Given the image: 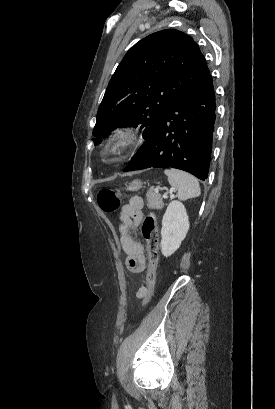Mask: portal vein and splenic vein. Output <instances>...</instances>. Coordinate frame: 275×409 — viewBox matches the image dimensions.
Listing matches in <instances>:
<instances>
[{"label": "portal vein and splenic vein", "instance_id": "obj_1", "mask_svg": "<svg viewBox=\"0 0 275 409\" xmlns=\"http://www.w3.org/2000/svg\"><path fill=\"white\" fill-rule=\"evenodd\" d=\"M155 190H157V192H158L159 188H155ZM163 196H164V198H168L167 194H163ZM170 196H171V198H173L174 194H170Z\"/></svg>", "mask_w": 275, "mask_h": 409}]
</instances>
